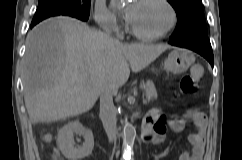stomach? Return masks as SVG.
I'll return each instance as SVG.
<instances>
[{"instance_id":"1","label":"stomach","mask_w":242,"mask_h":160,"mask_svg":"<svg viewBox=\"0 0 242 160\" xmlns=\"http://www.w3.org/2000/svg\"><path fill=\"white\" fill-rule=\"evenodd\" d=\"M195 57L191 51L182 48H175L166 59L164 69L174 74H180L194 63Z\"/></svg>"}]
</instances>
